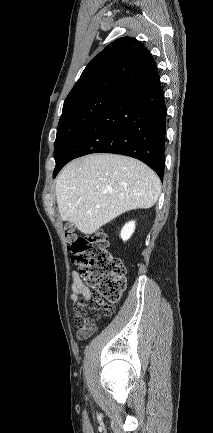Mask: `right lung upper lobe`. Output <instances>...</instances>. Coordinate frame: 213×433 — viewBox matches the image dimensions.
<instances>
[{"label": "right lung upper lobe", "mask_w": 213, "mask_h": 433, "mask_svg": "<svg viewBox=\"0 0 213 433\" xmlns=\"http://www.w3.org/2000/svg\"><path fill=\"white\" fill-rule=\"evenodd\" d=\"M155 66L141 42L132 37L119 38L90 61L64 104L102 92L122 94Z\"/></svg>", "instance_id": "obj_1"}]
</instances>
